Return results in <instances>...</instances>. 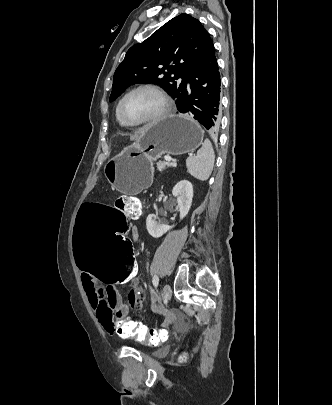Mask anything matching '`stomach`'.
Wrapping results in <instances>:
<instances>
[{"instance_id":"0dacf381","label":"stomach","mask_w":332,"mask_h":405,"mask_svg":"<svg viewBox=\"0 0 332 405\" xmlns=\"http://www.w3.org/2000/svg\"><path fill=\"white\" fill-rule=\"evenodd\" d=\"M201 126L186 115H169L148 125L136 143L107 162L108 182L123 194L135 195L148 187L153 178L152 163L164 154L181 155L203 142Z\"/></svg>"}]
</instances>
